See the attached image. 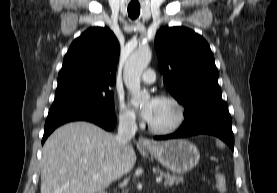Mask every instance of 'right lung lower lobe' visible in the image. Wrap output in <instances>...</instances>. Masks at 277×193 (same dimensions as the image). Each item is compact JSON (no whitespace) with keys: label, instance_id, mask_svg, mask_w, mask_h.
<instances>
[{"label":"right lung lower lobe","instance_id":"right-lung-lower-lobe-1","mask_svg":"<svg viewBox=\"0 0 277 193\" xmlns=\"http://www.w3.org/2000/svg\"><path fill=\"white\" fill-rule=\"evenodd\" d=\"M78 120L95 123L108 131H111L116 126L114 113L86 104L53 102L46 119L42 144L55 128L64 123Z\"/></svg>","mask_w":277,"mask_h":193}]
</instances>
